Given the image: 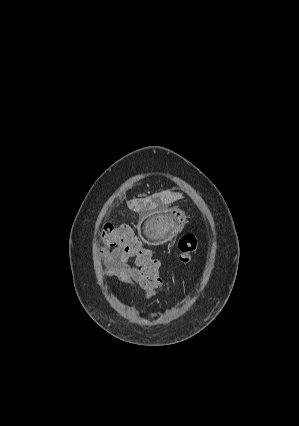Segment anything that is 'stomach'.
I'll list each match as a JSON object with an SVG mask.
<instances>
[{
	"label": "stomach",
	"mask_w": 299,
	"mask_h": 426,
	"mask_svg": "<svg viewBox=\"0 0 299 426\" xmlns=\"http://www.w3.org/2000/svg\"><path fill=\"white\" fill-rule=\"evenodd\" d=\"M185 212L177 207L160 208L139 219V237L149 245H161L176 237L187 223Z\"/></svg>",
	"instance_id": "obj_1"
}]
</instances>
